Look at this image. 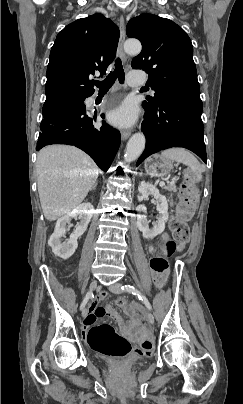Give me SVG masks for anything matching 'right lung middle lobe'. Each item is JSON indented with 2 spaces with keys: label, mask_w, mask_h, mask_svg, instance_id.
Returning a JSON list of instances; mask_svg holds the SVG:
<instances>
[{
  "label": "right lung middle lobe",
  "mask_w": 243,
  "mask_h": 404,
  "mask_svg": "<svg viewBox=\"0 0 243 404\" xmlns=\"http://www.w3.org/2000/svg\"><path fill=\"white\" fill-rule=\"evenodd\" d=\"M85 98H71L63 99L53 103L43 105V115L61 106L71 105V104H82Z\"/></svg>",
  "instance_id": "dd1d6c3e"
}]
</instances>
